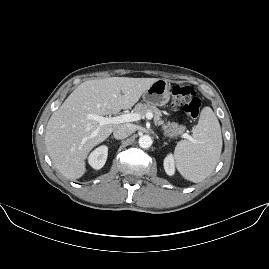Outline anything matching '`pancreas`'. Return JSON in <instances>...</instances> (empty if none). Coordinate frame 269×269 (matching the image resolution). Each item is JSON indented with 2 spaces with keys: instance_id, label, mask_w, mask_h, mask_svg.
Returning a JSON list of instances; mask_svg holds the SVG:
<instances>
[{
  "instance_id": "pancreas-1",
  "label": "pancreas",
  "mask_w": 269,
  "mask_h": 269,
  "mask_svg": "<svg viewBox=\"0 0 269 269\" xmlns=\"http://www.w3.org/2000/svg\"><path fill=\"white\" fill-rule=\"evenodd\" d=\"M135 112L139 115V118L145 117L148 112H151L154 115L155 122L159 126H162L161 131L164 136L178 135L186 129L185 125L178 124L177 122H168L165 124V119L162 118V111L156 106L139 103L135 107Z\"/></svg>"
}]
</instances>
